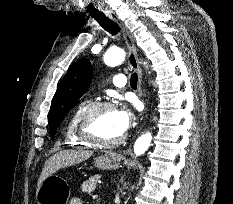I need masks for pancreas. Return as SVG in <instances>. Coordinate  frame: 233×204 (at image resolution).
<instances>
[{
    "mask_svg": "<svg viewBox=\"0 0 233 204\" xmlns=\"http://www.w3.org/2000/svg\"><path fill=\"white\" fill-rule=\"evenodd\" d=\"M101 178V175H93L87 181L81 185L82 192L91 193L96 189L97 181Z\"/></svg>",
    "mask_w": 233,
    "mask_h": 204,
    "instance_id": "obj_1",
    "label": "pancreas"
}]
</instances>
